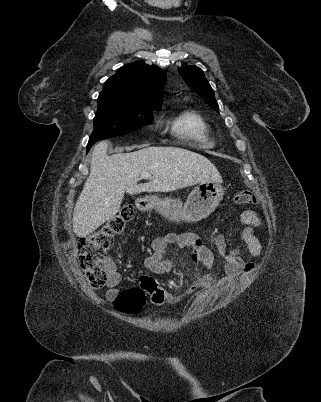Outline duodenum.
I'll return each instance as SVG.
<instances>
[{"mask_svg":"<svg viewBox=\"0 0 321 402\" xmlns=\"http://www.w3.org/2000/svg\"><path fill=\"white\" fill-rule=\"evenodd\" d=\"M135 205L139 210H144L149 206V200L147 198H138Z\"/></svg>","mask_w":321,"mask_h":402,"instance_id":"duodenum-1","label":"duodenum"}]
</instances>
